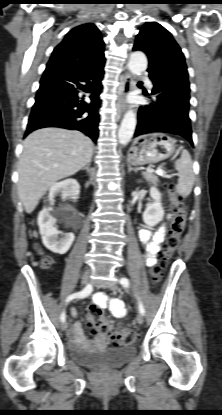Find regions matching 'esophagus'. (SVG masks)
<instances>
[{
	"mask_svg": "<svg viewBox=\"0 0 222 415\" xmlns=\"http://www.w3.org/2000/svg\"><path fill=\"white\" fill-rule=\"evenodd\" d=\"M133 85V77L130 73H127L122 81L121 92L118 99V107L120 112L123 113L126 109V97L129 94Z\"/></svg>",
	"mask_w": 222,
	"mask_h": 415,
	"instance_id": "1",
	"label": "esophagus"
}]
</instances>
